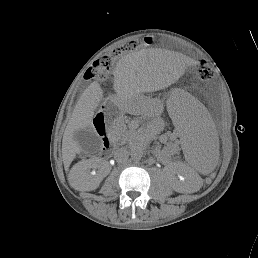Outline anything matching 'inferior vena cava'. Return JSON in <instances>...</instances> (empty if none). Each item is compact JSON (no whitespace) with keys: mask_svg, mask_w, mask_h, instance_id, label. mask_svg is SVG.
I'll return each mask as SVG.
<instances>
[{"mask_svg":"<svg viewBox=\"0 0 258 258\" xmlns=\"http://www.w3.org/2000/svg\"><path fill=\"white\" fill-rule=\"evenodd\" d=\"M128 156H129V153L127 150L125 149H118L115 154H114V157H115V160L118 162V163H125L128 159Z\"/></svg>","mask_w":258,"mask_h":258,"instance_id":"inferior-vena-cava-1","label":"inferior vena cava"}]
</instances>
